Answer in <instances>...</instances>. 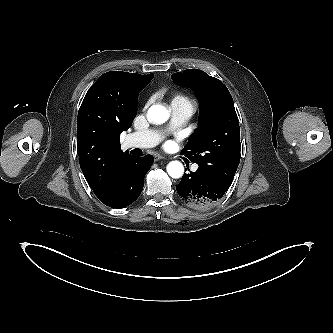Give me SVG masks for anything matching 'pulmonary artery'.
Returning <instances> with one entry per match:
<instances>
[{
    "instance_id": "e3ab8cb5",
    "label": "pulmonary artery",
    "mask_w": 333,
    "mask_h": 333,
    "mask_svg": "<svg viewBox=\"0 0 333 333\" xmlns=\"http://www.w3.org/2000/svg\"><path fill=\"white\" fill-rule=\"evenodd\" d=\"M195 107L192 103L174 101L171 103V122L170 129L182 126L194 113ZM162 139V134L155 130L135 132L128 136L127 144L129 147L149 148L157 145ZM197 165L192 166L196 171Z\"/></svg>"
}]
</instances>
